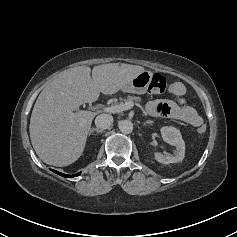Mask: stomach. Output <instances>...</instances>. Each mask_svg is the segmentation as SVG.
Returning a JSON list of instances; mask_svg holds the SVG:
<instances>
[{
    "label": "stomach",
    "mask_w": 237,
    "mask_h": 237,
    "mask_svg": "<svg viewBox=\"0 0 237 237\" xmlns=\"http://www.w3.org/2000/svg\"><path fill=\"white\" fill-rule=\"evenodd\" d=\"M152 73L150 71H142L136 75L129 83H127L122 91L135 94H144L147 92L149 84L152 79Z\"/></svg>",
    "instance_id": "stomach-1"
}]
</instances>
